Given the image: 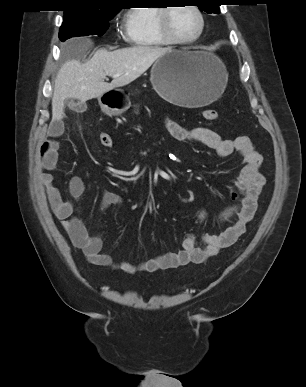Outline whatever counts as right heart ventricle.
Listing matches in <instances>:
<instances>
[{
  "label": "right heart ventricle",
  "instance_id": "obj_1",
  "mask_svg": "<svg viewBox=\"0 0 306 387\" xmlns=\"http://www.w3.org/2000/svg\"><path fill=\"white\" fill-rule=\"evenodd\" d=\"M160 7H137L127 12L123 32L125 40L132 46L156 48L169 45L162 37L158 17Z\"/></svg>",
  "mask_w": 306,
  "mask_h": 387
}]
</instances>
